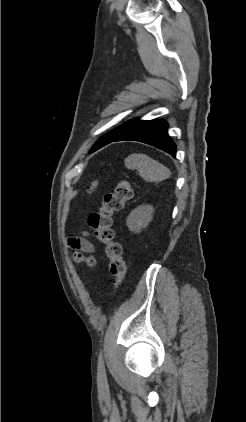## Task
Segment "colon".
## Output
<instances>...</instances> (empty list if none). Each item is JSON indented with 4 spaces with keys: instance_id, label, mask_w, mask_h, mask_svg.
Returning <instances> with one entry per match:
<instances>
[{
    "instance_id": "5ec220e1",
    "label": "colon",
    "mask_w": 246,
    "mask_h": 422,
    "mask_svg": "<svg viewBox=\"0 0 246 422\" xmlns=\"http://www.w3.org/2000/svg\"><path fill=\"white\" fill-rule=\"evenodd\" d=\"M94 188L95 183L89 187V190L92 191ZM132 196L131 184L126 180H121L113 192L104 196L99 209L88 217V225L93 230L95 238L105 247V253L109 259L110 273L114 277L113 288L115 290L122 285L127 266L122 255L121 244L115 239L112 219L113 215L120 211ZM74 256L77 261L94 265L95 261L91 257H85L81 253H76Z\"/></svg>"
}]
</instances>
